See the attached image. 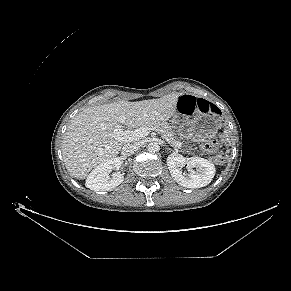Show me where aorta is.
I'll return each mask as SVG.
<instances>
[{"label":"aorta","instance_id":"762f6f07","mask_svg":"<svg viewBox=\"0 0 291 291\" xmlns=\"http://www.w3.org/2000/svg\"><path fill=\"white\" fill-rule=\"evenodd\" d=\"M147 149L149 153H157L160 150V146L156 142H151L148 144Z\"/></svg>","mask_w":291,"mask_h":291}]
</instances>
